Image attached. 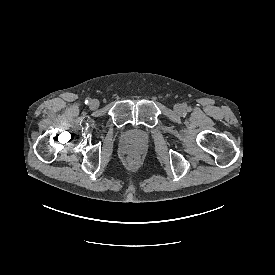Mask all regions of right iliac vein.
<instances>
[{"instance_id": "63e3f726", "label": "right iliac vein", "mask_w": 275, "mask_h": 275, "mask_svg": "<svg viewBox=\"0 0 275 275\" xmlns=\"http://www.w3.org/2000/svg\"><path fill=\"white\" fill-rule=\"evenodd\" d=\"M99 105V102L97 100H92L91 103H90V107L92 109H96Z\"/></svg>"}]
</instances>
